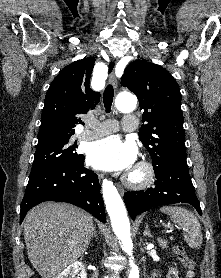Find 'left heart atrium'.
<instances>
[{"mask_svg": "<svg viewBox=\"0 0 221 278\" xmlns=\"http://www.w3.org/2000/svg\"><path fill=\"white\" fill-rule=\"evenodd\" d=\"M134 144L110 136L93 142L88 148L87 160L96 169L106 171L128 170L136 159Z\"/></svg>", "mask_w": 221, "mask_h": 278, "instance_id": "1", "label": "left heart atrium"}]
</instances>
